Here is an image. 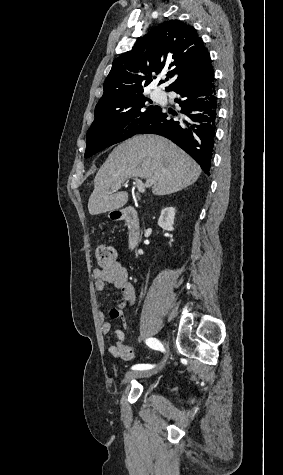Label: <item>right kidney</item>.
Returning a JSON list of instances; mask_svg holds the SVG:
<instances>
[{
    "instance_id": "ca27d5eb",
    "label": "right kidney",
    "mask_w": 283,
    "mask_h": 475,
    "mask_svg": "<svg viewBox=\"0 0 283 475\" xmlns=\"http://www.w3.org/2000/svg\"><path fill=\"white\" fill-rule=\"evenodd\" d=\"M175 212V208H164L158 220V226H160V228H163V230H167V232H172V230H174L173 224Z\"/></svg>"
}]
</instances>
